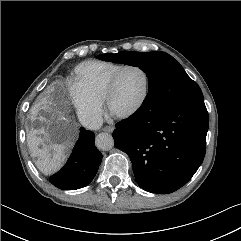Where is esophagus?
Wrapping results in <instances>:
<instances>
[{"label": "esophagus", "mask_w": 241, "mask_h": 241, "mask_svg": "<svg viewBox=\"0 0 241 241\" xmlns=\"http://www.w3.org/2000/svg\"><path fill=\"white\" fill-rule=\"evenodd\" d=\"M113 130H114V126H111V125L103 128V131L109 132V133L113 132Z\"/></svg>", "instance_id": "esophagus-1"}]
</instances>
